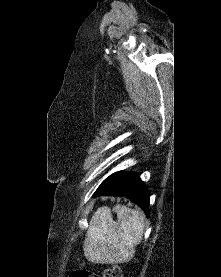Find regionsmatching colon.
I'll return each mask as SVG.
<instances>
[{
  "instance_id": "1",
  "label": "colon",
  "mask_w": 221,
  "mask_h": 277,
  "mask_svg": "<svg viewBox=\"0 0 221 277\" xmlns=\"http://www.w3.org/2000/svg\"><path fill=\"white\" fill-rule=\"evenodd\" d=\"M70 277H123V272L120 266L112 265L106 268L101 275H98L82 266L75 269Z\"/></svg>"
}]
</instances>
